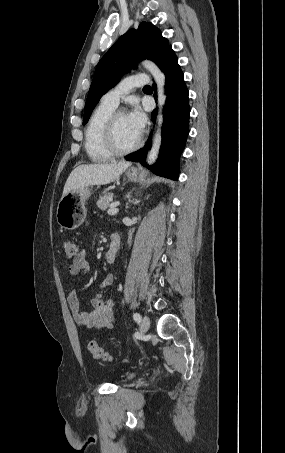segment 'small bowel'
Instances as JSON below:
<instances>
[{"mask_svg": "<svg viewBox=\"0 0 285 453\" xmlns=\"http://www.w3.org/2000/svg\"><path fill=\"white\" fill-rule=\"evenodd\" d=\"M117 237L116 235H114ZM89 271V264L86 261L85 253L81 251L78 257L69 266V273L76 280H81ZM114 281L112 274H107L101 284V288L111 285ZM72 317L78 327L86 330L110 329L113 326L115 316V302L112 299H104L101 292H98L91 300V309L83 311L79 308L76 291L71 288L67 293Z\"/></svg>", "mask_w": 285, "mask_h": 453, "instance_id": "small-bowel-1", "label": "small bowel"}]
</instances>
